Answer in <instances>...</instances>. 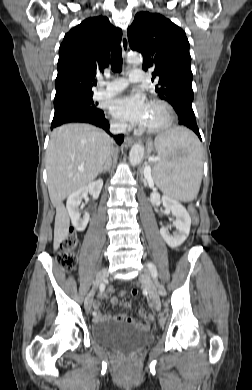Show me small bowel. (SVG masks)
<instances>
[{
	"instance_id": "1",
	"label": "small bowel",
	"mask_w": 252,
	"mask_h": 390,
	"mask_svg": "<svg viewBox=\"0 0 252 390\" xmlns=\"http://www.w3.org/2000/svg\"><path fill=\"white\" fill-rule=\"evenodd\" d=\"M112 292H113L112 288H108L106 291H103L100 293V297H106V296L110 295ZM124 295H125L124 292H120V296H124ZM118 303H119L118 298L116 296H113L111 298V304L116 306V305H118ZM93 307H94L95 312H96V315L93 316L94 320L96 322H102L105 320H116V321H121V322H126L129 324H132L137 328H145V327H147V325L150 322L153 321V317L151 315L147 314V311L144 307H141L139 310V315L143 318V322L140 320H136L134 318L129 317L127 315V313H121L118 315H108V314L103 315L100 313L101 302L98 300L94 301ZM127 307H128V305H127Z\"/></svg>"
}]
</instances>
